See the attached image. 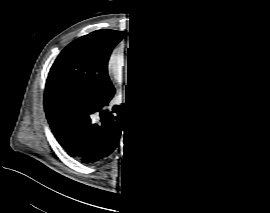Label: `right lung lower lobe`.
Listing matches in <instances>:
<instances>
[{
	"label": "right lung lower lobe",
	"instance_id": "obj_1",
	"mask_svg": "<svg viewBox=\"0 0 270 213\" xmlns=\"http://www.w3.org/2000/svg\"><path fill=\"white\" fill-rule=\"evenodd\" d=\"M108 94L82 88L45 90L44 109L50 128L66 153L84 164H97L110 156L122 130L133 117L127 103L108 108Z\"/></svg>",
	"mask_w": 270,
	"mask_h": 213
}]
</instances>
